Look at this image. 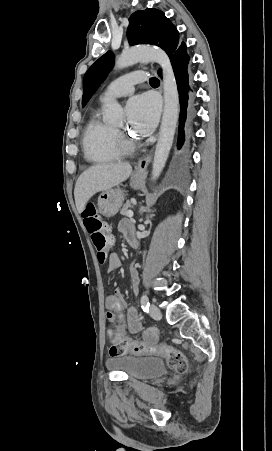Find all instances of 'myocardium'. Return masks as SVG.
Wrapping results in <instances>:
<instances>
[{
	"mask_svg": "<svg viewBox=\"0 0 272 451\" xmlns=\"http://www.w3.org/2000/svg\"><path fill=\"white\" fill-rule=\"evenodd\" d=\"M113 138L116 144V147L119 146L121 149L127 151L130 146L127 140L124 139V137L122 136L121 132L119 130H114L113 131Z\"/></svg>",
	"mask_w": 272,
	"mask_h": 451,
	"instance_id": "1",
	"label": "myocardium"
}]
</instances>
